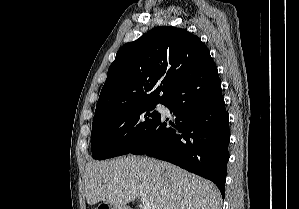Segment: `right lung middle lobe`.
<instances>
[{
	"label": "right lung middle lobe",
	"instance_id": "obj_1",
	"mask_svg": "<svg viewBox=\"0 0 299 209\" xmlns=\"http://www.w3.org/2000/svg\"><path fill=\"white\" fill-rule=\"evenodd\" d=\"M147 102L114 108L93 118L92 157L103 160L130 152L139 139L161 118L153 111L156 104Z\"/></svg>",
	"mask_w": 299,
	"mask_h": 209
}]
</instances>
